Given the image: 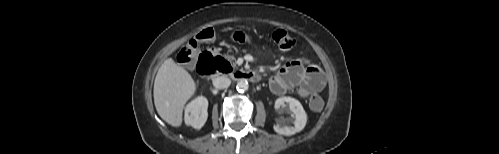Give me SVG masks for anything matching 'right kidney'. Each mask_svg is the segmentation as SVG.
<instances>
[{"instance_id":"obj_1","label":"right kidney","mask_w":499,"mask_h":154,"mask_svg":"<svg viewBox=\"0 0 499 154\" xmlns=\"http://www.w3.org/2000/svg\"><path fill=\"white\" fill-rule=\"evenodd\" d=\"M207 108L208 100L203 96L191 101L185 109V123L195 129L202 128L208 117Z\"/></svg>"}]
</instances>
